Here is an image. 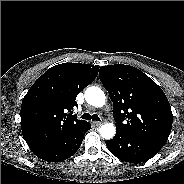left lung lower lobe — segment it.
<instances>
[{"label":"left lung lower lobe","mask_w":184,"mask_h":184,"mask_svg":"<svg viewBox=\"0 0 184 184\" xmlns=\"http://www.w3.org/2000/svg\"><path fill=\"white\" fill-rule=\"evenodd\" d=\"M106 146L117 158L131 163L145 162L159 152L146 142L119 129H116L113 139L106 141Z\"/></svg>","instance_id":"1"}]
</instances>
